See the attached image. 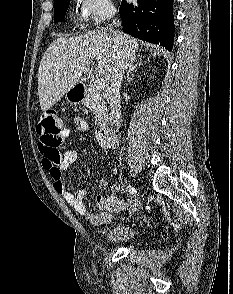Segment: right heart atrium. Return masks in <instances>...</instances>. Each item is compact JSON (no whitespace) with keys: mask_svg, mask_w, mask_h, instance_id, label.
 <instances>
[{"mask_svg":"<svg viewBox=\"0 0 233 294\" xmlns=\"http://www.w3.org/2000/svg\"><path fill=\"white\" fill-rule=\"evenodd\" d=\"M80 19L86 26L99 27L116 13L112 0H76Z\"/></svg>","mask_w":233,"mask_h":294,"instance_id":"obj_1","label":"right heart atrium"}]
</instances>
